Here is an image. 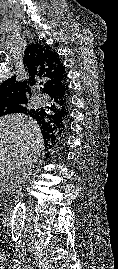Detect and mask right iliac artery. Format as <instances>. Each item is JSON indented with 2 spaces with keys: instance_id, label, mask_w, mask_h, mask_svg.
Returning <instances> with one entry per match:
<instances>
[{
  "instance_id": "82829eb1",
  "label": "right iliac artery",
  "mask_w": 118,
  "mask_h": 269,
  "mask_svg": "<svg viewBox=\"0 0 118 269\" xmlns=\"http://www.w3.org/2000/svg\"><path fill=\"white\" fill-rule=\"evenodd\" d=\"M20 267H21V262L18 261V260H13V266H12V268H14V269H20Z\"/></svg>"
}]
</instances>
